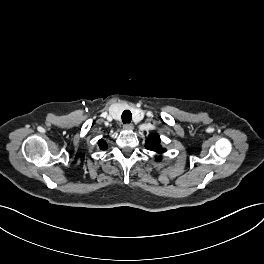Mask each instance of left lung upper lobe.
<instances>
[{
    "label": "left lung upper lobe",
    "mask_w": 264,
    "mask_h": 264,
    "mask_svg": "<svg viewBox=\"0 0 264 264\" xmlns=\"http://www.w3.org/2000/svg\"><path fill=\"white\" fill-rule=\"evenodd\" d=\"M160 142L161 140L158 134H151L145 142V148L157 153H163L165 149L161 147ZM157 159H160V157Z\"/></svg>",
    "instance_id": "5c2ea615"
}]
</instances>
